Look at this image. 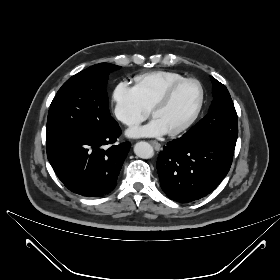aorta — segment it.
<instances>
[{
    "mask_svg": "<svg viewBox=\"0 0 280 280\" xmlns=\"http://www.w3.org/2000/svg\"><path fill=\"white\" fill-rule=\"evenodd\" d=\"M134 153L137 157L149 159L153 157L154 150L148 142L140 141L135 144Z\"/></svg>",
    "mask_w": 280,
    "mask_h": 280,
    "instance_id": "aorta-1",
    "label": "aorta"
}]
</instances>
